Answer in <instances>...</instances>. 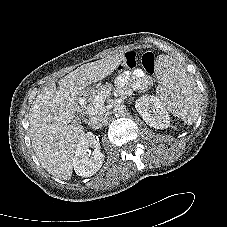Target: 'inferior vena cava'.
Returning a JSON list of instances; mask_svg holds the SVG:
<instances>
[{"instance_id":"inferior-vena-cava-1","label":"inferior vena cava","mask_w":227,"mask_h":227,"mask_svg":"<svg viewBox=\"0 0 227 227\" xmlns=\"http://www.w3.org/2000/svg\"><path fill=\"white\" fill-rule=\"evenodd\" d=\"M106 116L103 111L93 113L90 118L88 125L93 129H99L105 124Z\"/></svg>"}]
</instances>
